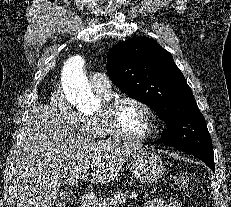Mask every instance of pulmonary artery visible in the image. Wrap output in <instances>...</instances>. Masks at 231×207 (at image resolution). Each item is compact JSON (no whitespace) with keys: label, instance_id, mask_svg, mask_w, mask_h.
I'll return each mask as SVG.
<instances>
[{"label":"pulmonary artery","instance_id":"e3ab8cb5","mask_svg":"<svg viewBox=\"0 0 231 207\" xmlns=\"http://www.w3.org/2000/svg\"><path fill=\"white\" fill-rule=\"evenodd\" d=\"M90 83L95 91L110 93L111 81L109 77L102 72H95L90 77Z\"/></svg>","mask_w":231,"mask_h":207}]
</instances>
